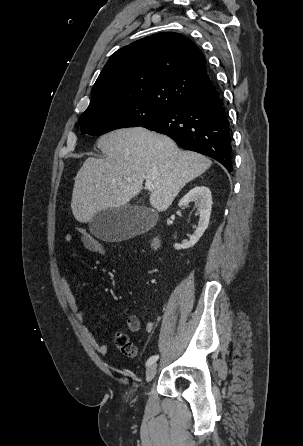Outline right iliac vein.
<instances>
[{"label":"right iliac vein","instance_id":"1","mask_svg":"<svg viewBox=\"0 0 303 446\" xmlns=\"http://www.w3.org/2000/svg\"><path fill=\"white\" fill-rule=\"evenodd\" d=\"M156 371H157V364H151L150 366H148V368L146 369V381L150 382L156 375Z\"/></svg>","mask_w":303,"mask_h":446}]
</instances>
